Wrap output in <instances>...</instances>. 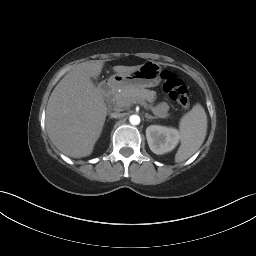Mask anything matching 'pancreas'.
Here are the masks:
<instances>
[{
    "mask_svg": "<svg viewBox=\"0 0 256 256\" xmlns=\"http://www.w3.org/2000/svg\"><path fill=\"white\" fill-rule=\"evenodd\" d=\"M155 100V91L139 87L123 88L120 92H115L113 95V101L118 108H128L136 102L151 108Z\"/></svg>",
    "mask_w": 256,
    "mask_h": 256,
    "instance_id": "cf45deb5",
    "label": "pancreas"
}]
</instances>
